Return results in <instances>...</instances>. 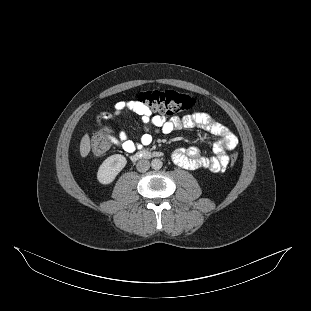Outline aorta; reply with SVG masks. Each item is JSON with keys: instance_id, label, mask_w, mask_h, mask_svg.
<instances>
[{"instance_id": "aorta-1", "label": "aorta", "mask_w": 311, "mask_h": 311, "mask_svg": "<svg viewBox=\"0 0 311 311\" xmlns=\"http://www.w3.org/2000/svg\"><path fill=\"white\" fill-rule=\"evenodd\" d=\"M151 166H152L153 169L159 170V169L162 168L163 163H162V161H161L159 158H154V159L151 161Z\"/></svg>"}]
</instances>
